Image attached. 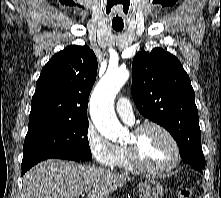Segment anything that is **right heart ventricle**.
<instances>
[{
	"label": "right heart ventricle",
	"instance_id": "right-heart-ventricle-1",
	"mask_svg": "<svg viewBox=\"0 0 221 198\" xmlns=\"http://www.w3.org/2000/svg\"><path fill=\"white\" fill-rule=\"evenodd\" d=\"M113 166L128 171L134 170L133 166L129 162L124 145L116 146V157Z\"/></svg>",
	"mask_w": 221,
	"mask_h": 198
}]
</instances>
